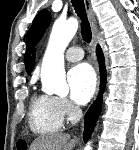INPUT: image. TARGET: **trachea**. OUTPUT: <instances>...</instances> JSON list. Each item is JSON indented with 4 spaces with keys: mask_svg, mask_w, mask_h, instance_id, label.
I'll return each instance as SVG.
<instances>
[{
    "mask_svg": "<svg viewBox=\"0 0 139 150\" xmlns=\"http://www.w3.org/2000/svg\"><path fill=\"white\" fill-rule=\"evenodd\" d=\"M72 6L74 7L77 15L82 20L81 22V34L83 40L87 43L91 41L92 33L91 27L86 17L85 5L83 0H71Z\"/></svg>",
    "mask_w": 139,
    "mask_h": 150,
    "instance_id": "1",
    "label": "trachea"
}]
</instances>
